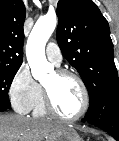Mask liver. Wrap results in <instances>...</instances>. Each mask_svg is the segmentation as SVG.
Wrapping results in <instances>:
<instances>
[{
    "mask_svg": "<svg viewBox=\"0 0 119 141\" xmlns=\"http://www.w3.org/2000/svg\"><path fill=\"white\" fill-rule=\"evenodd\" d=\"M62 127L45 119L0 114V141H42Z\"/></svg>",
    "mask_w": 119,
    "mask_h": 141,
    "instance_id": "liver-1",
    "label": "liver"
}]
</instances>
